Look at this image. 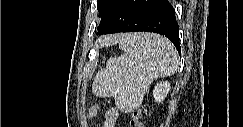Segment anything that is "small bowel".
I'll return each mask as SVG.
<instances>
[{"instance_id": "small-bowel-1", "label": "small bowel", "mask_w": 243, "mask_h": 127, "mask_svg": "<svg viewBox=\"0 0 243 127\" xmlns=\"http://www.w3.org/2000/svg\"><path fill=\"white\" fill-rule=\"evenodd\" d=\"M97 112V106L91 107V109L89 110V117L92 118L96 116ZM118 117L119 110L116 107H111L110 109H108L105 113L104 127H115Z\"/></svg>"}]
</instances>
